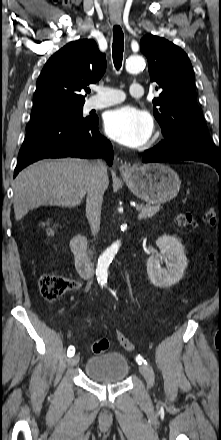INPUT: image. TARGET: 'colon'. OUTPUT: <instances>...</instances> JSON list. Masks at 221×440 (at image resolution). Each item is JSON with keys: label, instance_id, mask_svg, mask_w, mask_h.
<instances>
[{"label": "colon", "instance_id": "obj_1", "mask_svg": "<svg viewBox=\"0 0 221 440\" xmlns=\"http://www.w3.org/2000/svg\"><path fill=\"white\" fill-rule=\"evenodd\" d=\"M206 223H211L215 220V213L213 210H207L204 215ZM175 224L179 227L187 228L196 225V220L190 212H181L175 216ZM48 233L52 230L48 229ZM215 255H210L209 260L214 262ZM40 290L44 298L46 299H58L63 296L68 290V281L62 276L56 274H44L40 279ZM113 338L118 339L119 343L128 351H133L135 346L122 334L121 330L113 331ZM110 342L108 339H99L92 344V351L95 354H101L108 350Z\"/></svg>", "mask_w": 221, "mask_h": 440}]
</instances>
